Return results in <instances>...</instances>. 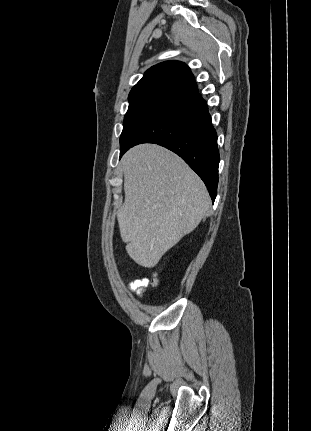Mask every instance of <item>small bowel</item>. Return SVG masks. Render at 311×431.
Masks as SVG:
<instances>
[{
    "label": "small bowel",
    "instance_id": "1",
    "mask_svg": "<svg viewBox=\"0 0 311 431\" xmlns=\"http://www.w3.org/2000/svg\"><path fill=\"white\" fill-rule=\"evenodd\" d=\"M148 284L149 280L147 278L134 280L129 283V289L135 292L139 297H142Z\"/></svg>",
    "mask_w": 311,
    "mask_h": 431
}]
</instances>
